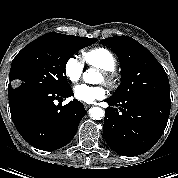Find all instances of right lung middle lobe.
<instances>
[{"instance_id":"obj_1","label":"right lung middle lobe","mask_w":178,"mask_h":178,"mask_svg":"<svg viewBox=\"0 0 178 178\" xmlns=\"http://www.w3.org/2000/svg\"><path fill=\"white\" fill-rule=\"evenodd\" d=\"M96 38L47 33L26 45L13 59L8 90L36 88L61 90L70 87L65 76L67 61Z\"/></svg>"}]
</instances>
